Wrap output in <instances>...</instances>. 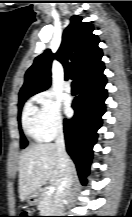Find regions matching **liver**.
Segmentation results:
<instances>
[{"instance_id":"obj_1","label":"liver","mask_w":132,"mask_h":217,"mask_svg":"<svg viewBox=\"0 0 132 217\" xmlns=\"http://www.w3.org/2000/svg\"><path fill=\"white\" fill-rule=\"evenodd\" d=\"M73 170L75 171L74 165ZM19 197L21 201L49 181L58 188L61 175L58 167L57 148L53 143L35 144L19 158Z\"/></svg>"}]
</instances>
